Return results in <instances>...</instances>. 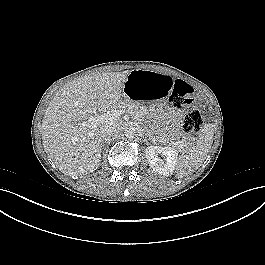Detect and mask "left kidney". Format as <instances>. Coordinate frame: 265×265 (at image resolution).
<instances>
[{
  "label": "left kidney",
  "instance_id": "5707ae66",
  "mask_svg": "<svg viewBox=\"0 0 265 265\" xmlns=\"http://www.w3.org/2000/svg\"><path fill=\"white\" fill-rule=\"evenodd\" d=\"M145 155L153 171L169 176L175 170L178 153L173 147L148 146L145 150Z\"/></svg>",
  "mask_w": 265,
  "mask_h": 265
}]
</instances>
